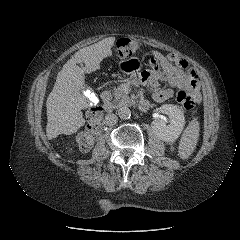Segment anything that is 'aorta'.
Instances as JSON below:
<instances>
[{
  "label": "aorta",
  "mask_w": 240,
  "mask_h": 240,
  "mask_svg": "<svg viewBox=\"0 0 240 240\" xmlns=\"http://www.w3.org/2000/svg\"><path fill=\"white\" fill-rule=\"evenodd\" d=\"M118 115L121 119H129L131 117V110L128 107H121L118 110Z\"/></svg>",
  "instance_id": "aorta-1"
}]
</instances>
